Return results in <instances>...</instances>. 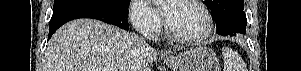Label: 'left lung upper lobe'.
<instances>
[{"label":"left lung upper lobe","mask_w":301,"mask_h":71,"mask_svg":"<svg viewBox=\"0 0 301 71\" xmlns=\"http://www.w3.org/2000/svg\"><path fill=\"white\" fill-rule=\"evenodd\" d=\"M214 19L222 15L226 9H243V0H205Z\"/></svg>","instance_id":"obj_1"}]
</instances>
